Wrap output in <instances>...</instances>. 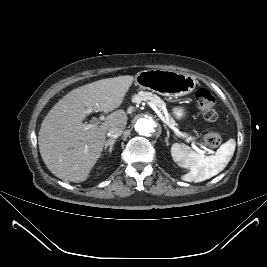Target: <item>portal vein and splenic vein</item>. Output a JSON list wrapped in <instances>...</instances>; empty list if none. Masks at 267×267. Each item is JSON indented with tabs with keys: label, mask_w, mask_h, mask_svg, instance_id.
<instances>
[{
	"label": "portal vein and splenic vein",
	"mask_w": 267,
	"mask_h": 267,
	"mask_svg": "<svg viewBox=\"0 0 267 267\" xmlns=\"http://www.w3.org/2000/svg\"><path fill=\"white\" fill-rule=\"evenodd\" d=\"M149 105H150V107L157 113V115H158V116L165 122V120H164L162 114H161L160 111L157 109V107H156L154 104H152L151 102H149ZM91 112H92V109H87V110H86V113H91ZM93 126H94V124H88V125H85V126H84V129H85V130H88V129L92 128ZM192 147H193L194 149L197 148L195 142H192ZM202 148H204L205 150H207V148L204 147V146H202ZM209 152H210V153H214L213 151H209Z\"/></svg>",
	"instance_id": "18ae733b"
}]
</instances>
